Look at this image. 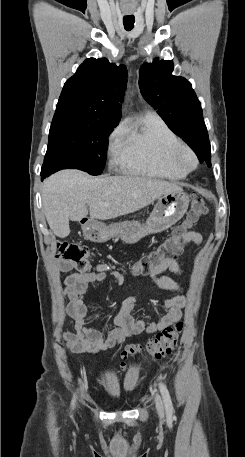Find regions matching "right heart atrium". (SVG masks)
<instances>
[{
	"instance_id": "right-heart-atrium-1",
	"label": "right heart atrium",
	"mask_w": 245,
	"mask_h": 457,
	"mask_svg": "<svg viewBox=\"0 0 245 457\" xmlns=\"http://www.w3.org/2000/svg\"><path fill=\"white\" fill-rule=\"evenodd\" d=\"M123 135V127L121 124L115 126L108 135V145L113 149L117 145L121 144Z\"/></svg>"
}]
</instances>
